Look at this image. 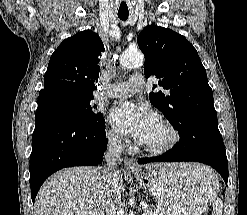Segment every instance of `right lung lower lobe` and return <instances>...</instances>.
<instances>
[{
  "mask_svg": "<svg viewBox=\"0 0 247 215\" xmlns=\"http://www.w3.org/2000/svg\"><path fill=\"white\" fill-rule=\"evenodd\" d=\"M107 149L105 124H91L59 111L38 107L30 155L31 198L59 169L98 165Z\"/></svg>",
  "mask_w": 247,
  "mask_h": 215,
  "instance_id": "98d812e1",
  "label": "right lung lower lobe"
}]
</instances>
